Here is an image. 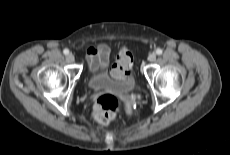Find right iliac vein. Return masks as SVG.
<instances>
[{
	"instance_id": "1",
	"label": "right iliac vein",
	"mask_w": 230,
	"mask_h": 155,
	"mask_svg": "<svg viewBox=\"0 0 230 155\" xmlns=\"http://www.w3.org/2000/svg\"><path fill=\"white\" fill-rule=\"evenodd\" d=\"M66 60L71 63V62H74L75 57L72 53H68L66 56Z\"/></svg>"
}]
</instances>
